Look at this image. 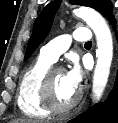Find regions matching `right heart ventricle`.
I'll use <instances>...</instances> for the list:
<instances>
[{
    "label": "right heart ventricle",
    "mask_w": 118,
    "mask_h": 123,
    "mask_svg": "<svg viewBox=\"0 0 118 123\" xmlns=\"http://www.w3.org/2000/svg\"><path fill=\"white\" fill-rule=\"evenodd\" d=\"M51 65V62L40 56L30 65L20 80L17 105L28 117L44 118L50 114L41 101V82Z\"/></svg>",
    "instance_id": "e07e8e85"
}]
</instances>
